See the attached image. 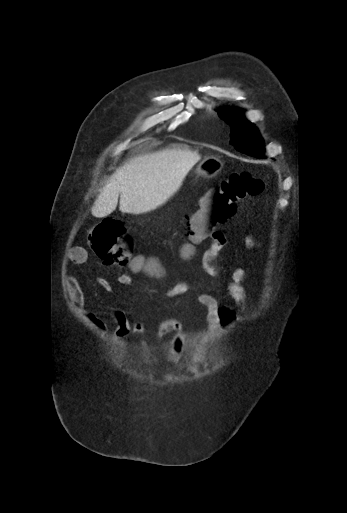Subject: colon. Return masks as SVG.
I'll list each match as a JSON object with an SVG mask.
<instances>
[{"label":"colon","mask_w":347,"mask_h":513,"mask_svg":"<svg viewBox=\"0 0 347 513\" xmlns=\"http://www.w3.org/2000/svg\"><path fill=\"white\" fill-rule=\"evenodd\" d=\"M263 190V180L251 172L233 173L201 196L198 210L187 220V238L192 243L205 239L233 217L238 202L255 197ZM88 237L92 249L105 264L123 266L128 263L132 244L120 220H102L90 230ZM191 253L192 249L186 250L187 255ZM134 266L145 267L139 262ZM147 269L152 273H161L158 263L151 264Z\"/></svg>","instance_id":"colon-1"}]
</instances>
